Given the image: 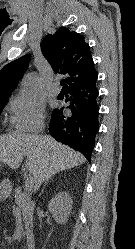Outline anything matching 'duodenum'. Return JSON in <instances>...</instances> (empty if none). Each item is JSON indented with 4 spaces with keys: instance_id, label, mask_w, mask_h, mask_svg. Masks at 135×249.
<instances>
[{
    "instance_id": "duodenum-1",
    "label": "duodenum",
    "mask_w": 135,
    "mask_h": 249,
    "mask_svg": "<svg viewBox=\"0 0 135 249\" xmlns=\"http://www.w3.org/2000/svg\"><path fill=\"white\" fill-rule=\"evenodd\" d=\"M26 246L29 249L35 248V236H34V232L32 230L27 235Z\"/></svg>"
}]
</instances>
